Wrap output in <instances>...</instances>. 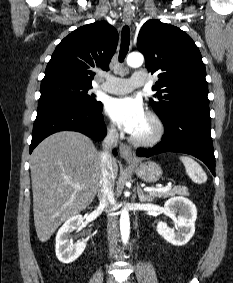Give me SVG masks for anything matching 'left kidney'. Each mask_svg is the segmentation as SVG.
Listing matches in <instances>:
<instances>
[{
    "label": "left kidney",
    "instance_id": "left-kidney-1",
    "mask_svg": "<svg viewBox=\"0 0 233 283\" xmlns=\"http://www.w3.org/2000/svg\"><path fill=\"white\" fill-rule=\"evenodd\" d=\"M164 210L168 215L178 216L175 221L176 232L167 226L165 222H159L157 232L169 243L175 246L185 245L194 235L195 221L197 218L196 206L187 198L176 197L169 199Z\"/></svg>",
    "mask_w": 233,
    "mask_h": 283
}]
</instances>
